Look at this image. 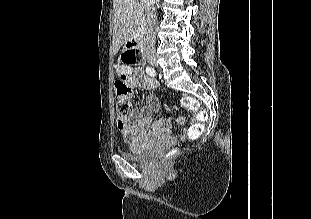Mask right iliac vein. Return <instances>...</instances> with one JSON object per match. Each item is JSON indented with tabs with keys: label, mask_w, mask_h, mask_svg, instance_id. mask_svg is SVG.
<instances>
[{
	"label": "right iliac vein",
	"mask_w": 311,
	"mask_h": 219,
	"mask_svg": "<svg viewBox=\"0 0 311 219\" xmlns=\"http://www.w3.org/2000/svg\"><path fill=\"white\" fill-rule=\"evenodd\" d=\"M147 61L152 66H157V60H156V57L154 55L147 56Z\"/></svg>",
	"instance_id": "obj_1"
}]
</instances>
